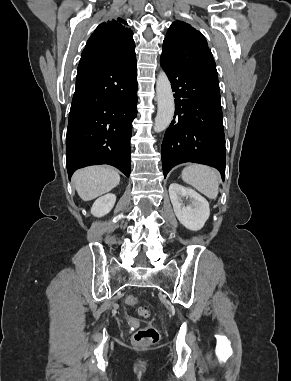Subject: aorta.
Wrapping results in <instances>:
<instances>
[{"instance_id":"762f6f07","label":"aorta","mask_w":291,"mask_h":381,"mask_svg":"<svg viewBox=\"0 0 291 381\" xmlns=\"http://www.w3.org/2000/svg\"><path fill=\"white\" fill-rule=\"evenodd\" d=\"M156 93L158 110L155 117L154 131L158 133L164 131L169 126L175 110L171 83L166 73L162 70L157 77Z\"/></svg>"}]
</instances>
